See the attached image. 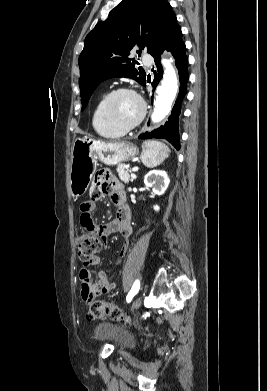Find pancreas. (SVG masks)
<instances>
[{
  "mask_svg": "<svg viewBox=\"0 0 267 391\" xmlns=\"http://www.w3.org/2000/svg\"><path fill=\"white\" fill-rule=\"evenodd\" d=\"M116 170L118 172L120 180L124 183H129L131 170L126 168V166L123 164L118 165Z\"/></svg>",
  "mask_w": 267,
  "mask_h": 391,
  "instance_id": "1",
  "label": "pancreas"
}]
</instances>
